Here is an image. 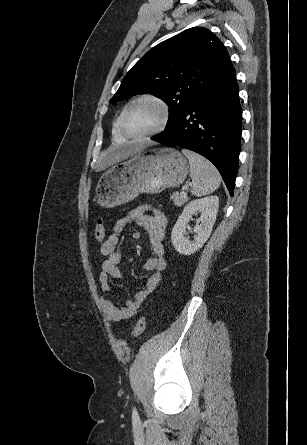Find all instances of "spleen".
Wrapping results in <instances>:
<instances>
[{"label":"spleen","instance_id":"3e777b00","mask_svg":"<svg viewBox=\"0 0 307 445\" xmlns=\"http://www.w3.org/2000/svg\"><path fill=\"white\" fill-rule=\"evenodd\" d=\"M183 154L187 156L190 164V176L192 178V194L195 196H205L214 192L221 184V174L216 166L209 162L207 158L183 148Z\"/></svg>","mask_w":307,"mask_h":445}]
</instances>
